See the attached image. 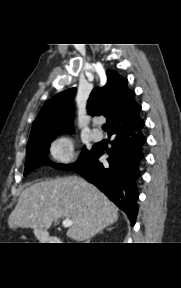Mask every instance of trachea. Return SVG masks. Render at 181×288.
I'll use <instances>...</instances> for the list:
<instances>
[{
  "instance_id": "obj_1",
  "label": "trachea",
  "mask_w": 181,
  "mask_h": 288,
  "mask_svg": "<svg viewBox=\"0 0 181 288\" xmlns=\"http://www.w3.org/2000/svg\"><path fill=\"white\" fill-rule=\"evenodd\" d=\"M102 128H103L104 131H106V130L108 129V125L104 124V125L102 126Z\"/></svg>"
}]
</instances>
